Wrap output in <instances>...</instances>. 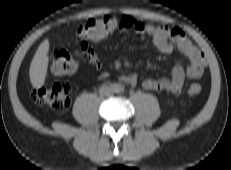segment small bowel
<instances>
[{
  "instance_id": "c3829d8e",
  "label": "small bowel",
  "mask_w": 231,
  "mask_h": 170,
  "mask_svg": "<svg viewBox=\"0 0 231 170\" xmlns=\"http://www.w3.org/2000/svg\"><path fill=\"white\" fill-rule=\"evenodd\" d=\"M119 29L121 31L134 30L142 39L150 37L156 48L162 53L167 54L178 49L188 60L186 67L180 64L174 65L170 78L144 80L142 82L144 89L175 94L181 90L186 77L193 79L203 74L206 66L205 58L181 28L144 24L131 16H123L120 18ZM81 49L91 63L100 66L98 54L90 47L88 40L81 41ZM121 80L130 85L137 84V76L134 74L122 76Z\"/></svg>"
}]
</instances>
